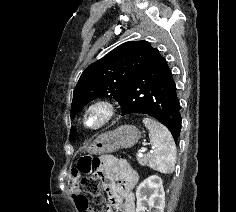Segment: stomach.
I'll list each match as a JSON object with an SVG mask.
<instances>
[{
    "label": "stomach",
    "mask_w": 236,
    "mask_h": 212,
    "mask_svg": "<svg viewBox=\"0 0 236 212\" xmlns=\"http://www.w3.org/2000/svg\"><path fill=\"white\" fill-rule=\"evenodd\" d=\"M140 138L141 133L135 126L122 125L99 135L89 147V151L96 155L112 153L118 149L134 146Z\"/></svg>",
    "instance_id": "1"
}]
</instances>
